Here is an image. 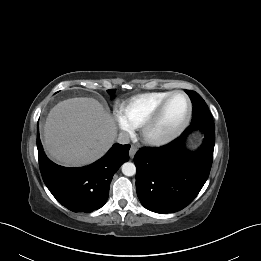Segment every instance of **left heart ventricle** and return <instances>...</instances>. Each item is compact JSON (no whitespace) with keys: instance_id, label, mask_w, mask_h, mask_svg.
I'll return each mask as SVG.
<instances>
[{"instance_id":"obj_1","label":"left heart ventricle","mask_w":261,"mask_h":261,"mask_svg":"<svg viewBox=\"0 0 261 261\" xmlns=\"http://www.w3.org/2000/svg\"><path fill=\"white\" fill-rule=\"evenodd\" d=\"M187 115V101L182 95H176L169 101L156 129L157 134H167L175 130Z\"/></svg>"}]
</instances>
